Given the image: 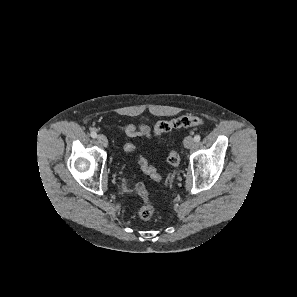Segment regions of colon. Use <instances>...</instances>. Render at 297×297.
<instances>
[{
	"label": "colon",
	"instance_id": "colon-1",
	"mask_svg": "<svg viewBox=\"0 0 297 297\" xmlns=\"http://www.w3.org/2000/svg\"><path fill=\"white\" fill-rule=\"evenodd\" d=\"M202 124L203 121L200 118L192 115H184L169 120L158 121L155 125L154 133L157 137H160L164 133L173 129L201 126ZM124 150L125 152L133 153L135 152L136 148L133 144L128 143L124 146ZM167 161L170 165L176 167L180 163V156L176 151L172 150L167 157ZM138 163L140 164L142 170L152 179L156 181L161 180L160 174L149 165L145 158L138 157ZM135 190L143 199V203L138 210V215L142 220H149L154 215V207L149 200L147 190L143 183H137L135 185Z\"/></svg>",
	"mask_w": 297,
	"mask_h": 297
}]
</instances>
